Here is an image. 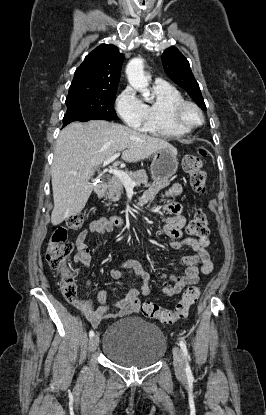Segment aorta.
Here are the masks:
<instances>
[{
  "label": "aorta",
  "mask_w": 266,
  "mask_h": 415,
  "mask_svg": "<svg viewBox=\"0 0 266 415\" xmlns=\"http://www.w3.org/2000/svg\"><path fill=\"white\" fill-rule=\"evenodd\" d=\"M126 74L130 85L142 93L145 100H149L148 80L144 73L143 60L134 58L129 61L126 67Z\"/></svg>",
  "instance_id": "aorta-1"
}]
</instances>
